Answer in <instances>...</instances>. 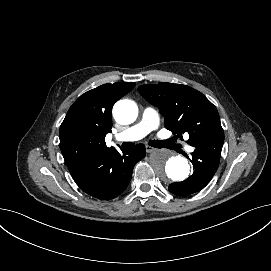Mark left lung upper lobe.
<instances>
[{
	"instance_id": "5c2ea615",
	"label": "left lung upper lobe",
	"mask_w": 271,
	"mask_h": 271,
	"mask_svg": "<svg viewBox=\"0 0 271 271\" xmlns=\"http://www.w3.org/2000/svg\"><path fill=\"white\" fill-rule=\"evenodd\" d=\"M139 93L159 108L165 127L173 134H189L188 144L221 155L224 131L216 107L199 91L180 84L142 85Z\"/></svg>"
}]
</instances>
